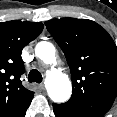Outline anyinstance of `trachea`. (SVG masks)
<instances>
[{
    "instance_id": "trachea-1",
    "label": "trachea",
    "mask_w": 117,
    "mask_h": 117,
    "mask_svg": "<svg viewBox=\"0 0 117 117\" xmlns=\"http://www.w3.org/2000/svg\"><path fill=\"white\" fill-rule=\"evenodd\" d=\"M28 80L29 82L41 83L43 80V77L39 71L31 70L28 74Z\"/></svg>"
}]
</instances>
